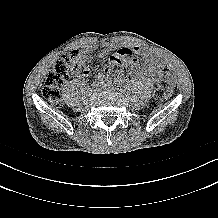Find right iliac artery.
I'll return each instance as SVG.
<instances>
[{"label":"right iliac artery","instance_id":"right-iliac-artery-1","mask_svg":"<svg viewBox=\"0 0 218 218\" xmlns=\"http://www.w3.org/2000/svg\"><path fill=\"white\" fill-rule=\"evenodd\" d=\"M104 79L103 78H99L98 81H95L93 84H97V83H103Z\"/></svg>","mask_w":218,"mask_h":218}]
</instances>
